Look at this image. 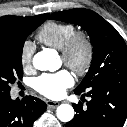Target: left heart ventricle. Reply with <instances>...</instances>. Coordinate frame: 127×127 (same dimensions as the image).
Masks as SVG:
<instances>
[{
    "mask_svg": "<svg viewBox=\"0 0 127 127\" xmlns=\"http://www.w3.org/2000/svg\"><path fill=\"white\" fill-rule=\"evenodd\" d=\"M83 57H84V50H83V48H79V49L77 50L76 56H75L76 61H77L78 63H80V62L83 60Z\"/></svg>",
    "mask_w": 127,
    "mask_h": 127,
    "instance_id": "1",
    "label": "left heart ventricle"
}]
</instances>
